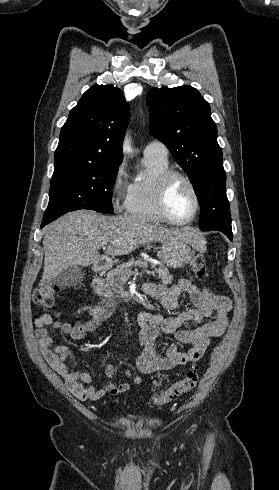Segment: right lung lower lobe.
Returning a JSON list of instances; mask_svg holds the SVG:
<instances>
[{"mask_svg": "<svg viewBox=\"0 0 279 490\" xmlns=\"http://www.w3.org/2000/svg\"><path fill=\"white\" fill-rule=\"evenodd\" d=\"M46 224H48V223H46V222H42V224H41V228H43V227H44Z\"/></svg>", "mask_w": 279, "mask_h": 490, "instance_id": "obj_1", "label": "right lung lower lobe"}]
</instances>
